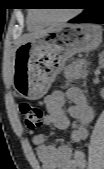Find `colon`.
I'll return each instance as SVG.
<instances>
[{
    "mask_svg": "<svg viewBox=\"0 0 104 169\" xmlns=\"http://www.w3.org/2000/svg\"><path fill=\"white\" fill-rule=\"evenodd\" d=\"M22 121L29 132H35L42 123L43 111L39 106L22 102L18 106Z\"/></svg>",
    "mask_w": 104,
    "mask_h": 169,
    "instance_id": "1",
    "label": "colon"
}]
</instances>
